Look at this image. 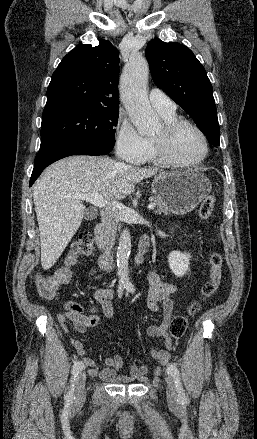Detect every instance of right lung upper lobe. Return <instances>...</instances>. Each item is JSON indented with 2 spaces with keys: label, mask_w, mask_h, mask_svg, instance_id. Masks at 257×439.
<instances>
[{
  "label": "right lung upper lobe",
  "mask_w": 257,
  "mask_h": 439,
  "mask_svg": "<svg viewBox=\"0 0 257 439\" xmlns=\"http://www.w3.org/2000/svg\"><path fill=\"white\" fill-rule=\"evenodd\" d=\"M119 54L106 40L79 44L60 62L47 90L43 118L84 108H119Z\"/></svg>",
  "instance_id": "cb5924a9"
}]
</instances>
